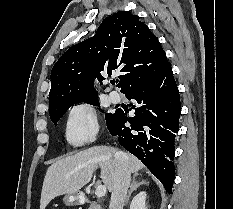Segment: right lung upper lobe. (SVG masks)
I'll use <instances>...</instances> for the list:
<instances>
[{
    "label": "right lung upper lobe",
    "instance_id": "1",
    "mask_svg": "<svg viewBox=\"0 0 233 209\" xmlns=\"http://www.w3.org/2000/svg\"><path fill=\"white\" fill-rule=\"evenodd\" d=\"M170 63L158 38L137 15L119 11L105 18L96 34L70 47L51 71L50 112L97 100L94 78L119 73L123 94L155 79Z\"/></svg>",
    "mask_w": 233,
    "mask_h": 209
}]
</instances>
